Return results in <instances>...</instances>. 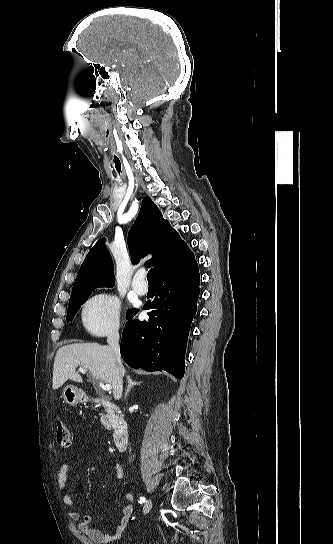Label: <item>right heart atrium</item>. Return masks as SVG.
<instances>
[{"label":"right heart atrium","instance_id":"d8ad5b80","mask_svg":"<svg viewBox=\"0 0 333 544\" xmlns=\"http://www.w3.org/2000/svg\"><path fill=\"white\" fill-rule=\"evenodd\" d=\"M121 303L114 294L102 293L91 298L83 308L85 328L97 336L116 334L120 326Z\"/></svg>","mask_w":333,"mask_h":544}]
</instances>
